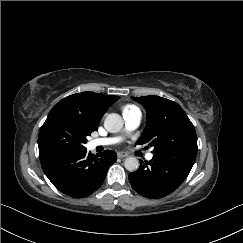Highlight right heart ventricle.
Segmentation results:
<instances>
[{"instance_id": "right-heart-ventricle-1", "label": "right heart ventricle", "mask_w": 243, "mask_h": 243, "mask_svg": "<svg viewBox=\"0 0 243 243\" xmlns=\"http://www.w3.org/2000/svg\"><path fill=\"white\" fill-rule=\"evenodd\" d=\"M135 106H133V105H127V106H125L124 108H123V112L124 111H126V110H129V109H131V108H134Z\"/></svg>"}]
</instances>
